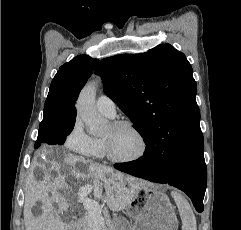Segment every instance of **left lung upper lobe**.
Listing matches in <instances>:
<instances>
[{
	"instance_id": "1",
	"label": "left lung upper lobe",
	"mask_w": 241,
	"mask_h": 230,
	"mask_svg": "<svg viewBox=\"0 0 241 230\" xmlns=\"http://www.w3.org/2000/svg\"><path fill=\"white\" fill-rule=\"evenodd\" d=\"M95 73L146 145L160 141L174 163L204 149L193 71L173 46L161 44L146 53L105 58Z\"/></svg>"
}]
</instances>
